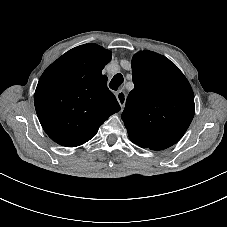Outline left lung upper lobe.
<instances>
[{"mask_svg":"<svg viewBox=\"0 0 227 227\" xmlns=\"http://www.w3.org/2000/svg\"><path fill=\"white\" fill-rule=\"evenodd\" d=\"M132 77L134 89L121 115L130 140L152 150L172 146L195 112L188 80L168 58L148 50L134 55Z\"/></svg>","mask_w":227,"mask_h":227,"instance_id":"obj_1","label":"left lung upper lobe"}]
</instances>
